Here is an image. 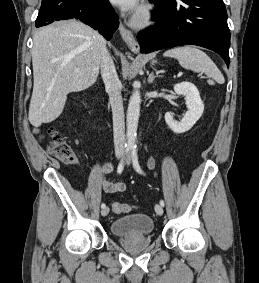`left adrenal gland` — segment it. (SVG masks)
<instances>
[{
  "label": "left adrenal gland",
  "mask_w": 259,
  "mask_h": 283,
  "mask_svg": "<svg viewBox=\"0 0 259 283\" xmlns=\"http://www.w3.org/2000/svg\"><path fill=\"white\" fill-rule=\"evenodd\" d=\"M156 77H158V75H155L154 72H151L148 76V83H152Z\"/></svg>",
  "instance_id": "1"
}]
</instances>
